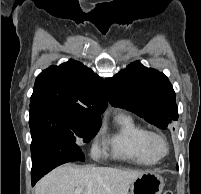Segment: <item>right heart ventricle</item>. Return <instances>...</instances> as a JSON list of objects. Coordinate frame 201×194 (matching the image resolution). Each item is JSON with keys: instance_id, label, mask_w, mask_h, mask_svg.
I'll use <instances>...</instances> for the list:
<instances>
[{"instance_id": "right-heart-ventricle-1", "label": "right heart ventricle", "mask_w": 201, "mask_h": 194, "mask_svg": "<svg viewBox=\"0 0 201 194\" xmlns=\"http://www.w3.org/2000/svg\"><path fill=\"white\" fill-rule=\"evenodd\" d=\"M116 130L109 138L116 157L131 160L143 165H152L157 160L152 158L145 147L148 130L131 115L120 113L115 118Z\"/></svg>"}]
</instances>
